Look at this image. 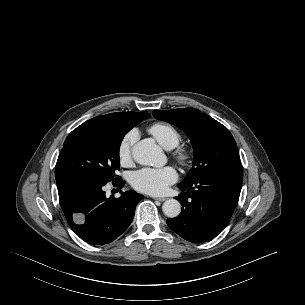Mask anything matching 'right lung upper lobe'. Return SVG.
Listing matches in <instances>:
<instances>
[{"label":"right lung upper lobe","mask_w":305,"mask_h":305,"mask_svg":"<svg viewBox=\"0 0 305 305\" xmlns=\"http://www.w3.org/2000/svg\"><path fill=\"white\" fill-rule=\"evenodd\" d=\"M149 114L147 111H143L140 113L135 112H118V113H111L107 115H102L96 117L97 119L110 121L114 123L126 124V125H137L143 119L147 118Z\"/></svg>","instance_id":"cb5924a9"}]
</instances>
